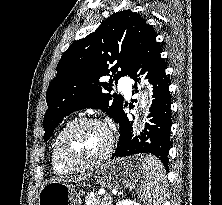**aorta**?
<instances>
[{
	"label": "aorta",
	"mask_w": 222,
	"mask_h": 205,
	"mask_svg": "<svg viewBox=\"0 0 222 205\" xmlns=\"http://www.w3.org/2000/svg\"><path fill=\"white\" fill-rule=\"evenodd\" d=\"M147 99H148V97H147V94H146V92L145 93H142V95H141V98H140V104H141V108H145L146 107V105H147V103H148V101H147ZM136 131L141 127V125L139 124V122H137L136 123Z\"/></svg>",
	"instance_id": "762f6f07"
}]
</instances>
